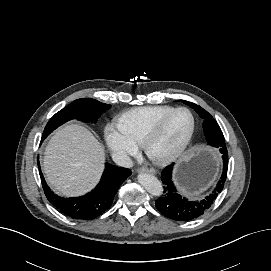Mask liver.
I'll list each match as a JSON object with an SVG mask.
<instances>
[{
	"instance_id": "6515ba94",
	"label": "liver",
	"mask_w": 271,
	"mask_h": 271,
	"mask_svg": "<svg viewBox=\"0 0 271 271\" xmlns=\"http://www.w3.org/2000/svg\"><path fill=\"white\" fill-rule=\"evenodd\" d=\"M104 162L102 144L86 128L72 124L59 129L49 141L43 169L58 194L78 196L97 184Z\"/></svg>"
}]
</instances>
